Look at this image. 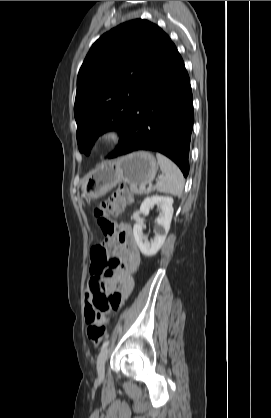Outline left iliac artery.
Returning a JSON list of instances; mask_svg holds the SVG:
<instances>
[{
  "label": "left iliac artery",
  "mask_w": 271,
  "mask_h": 418,
  "mask_svg": "<svg viewBox=\"0 0 271 418\" xmlns=\"http://www.w3.org/2000/svg\"><path fill=\"white\" fill-rule=\"evenodd\" d=\"M108 344H109V340H106V341L102 344L101 349L106 348V347L108 346Z\"/></svg>",
  "instance_id": "1"
}]
</instances>
